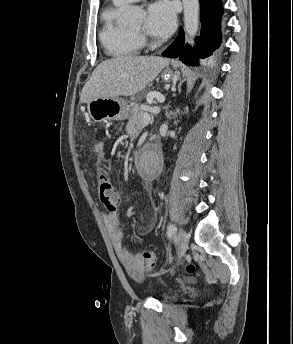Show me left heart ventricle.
Listing matches in <instances>:
<instances>
[{"instance_id": "left-heart-ventricle-1", "label": "left heart ventricle", "mask_w": 293, "mask_h": 344, "mask_svg": "<svg viewBox=\"0 0 293 344\" xmlns=\"http://www.w3.org/2000/svg\"><path fill=\"white\" fill-rule=\"evenodd\" d=\"M142 26H143V19H141V20L138 22V24H137L136 26H134L131 30H132V31H135V32L141 31Z\"/></svg>"}]
</instances>
